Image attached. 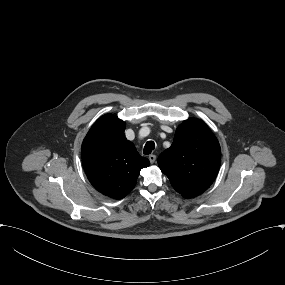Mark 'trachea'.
Segmentation results:
<instances>
[{"mask_svg": "<svg viewBox=\"0 0 285 285\" xmlns=\"http://www.w3.org/2000/svg\"><path fill=\"white\" fill-rule=\"evenodd\" d=\"M154 148H155V143L153 141H148L144 146L143 153L145 155L151 154Z\"/></svg>", "mask_w": 285, "mask_h": 285, "instance_id": "1", "label": "trachea"}]
</instances>
